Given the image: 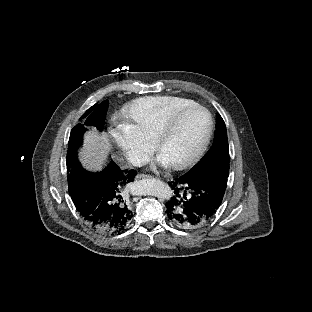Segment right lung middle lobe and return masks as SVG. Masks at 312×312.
I'll use <instances>...</instances> for the list:
<instances>
[{"instance_id": "1", "label": "right lung middle lobe", "mask_w": 312, "mask_h": 312, "mask_svg": "<svg viewBox=\"0 0 312 312\" xmlns=\"http://www.w3.org/2000/svg\"><path fill=\"white\" fill-rule=\"evenodd\" d=\"M108 108V101L105 100L100 103L96 108L95 106L88 109L81 119H84L81 123L77 124L71 131L68 151L66 156L67 173L76 164V154L79 149L83 134L86 131L85 126H95L99 131L103 130L105 117Z\"/></svg>"}]
</instances>
